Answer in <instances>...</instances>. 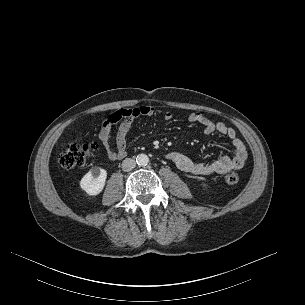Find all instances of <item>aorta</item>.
I'll list each match as a JSON object with an SVG mask.
<instances>
[{
	"mask_svg": "<svg viewBox=\"0 0 305 305\" xmlns=\"http://www.w3.org/2000/svg\"><path fill=\"white\" fill-rule=\"evenodd\" d=\"M136 162L139 166H146L149 163V157L146 154H139L136 157Z\"/></svg>",
	"mask_w": 305,
	"mask_h": 305,
	"instance_id": "aorta-1",
	"label": "aorta"
}]
</instances>
